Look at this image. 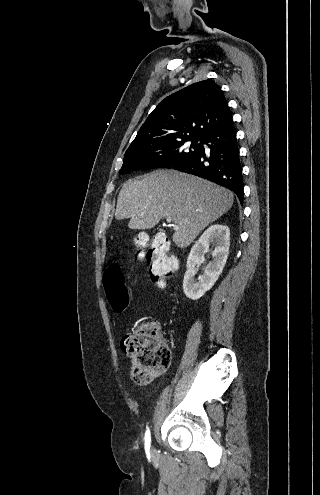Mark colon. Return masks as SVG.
I'll list each match as a JSON object with an SVG mask.
<instances>
[{"label":"colon","instance_id":"1","mask_svg":"<svg viewBox=\"0 0 320 495\" xmlns=\"http://www.w3.org/2000/svg\"><path fill=\"white\" fill-rule=\"evenodd\" d=\"M135 242L139 247L138 257L150 265V274L154 284L165 287L177 269V261L170 254L169 241L158 236L146 250V235H138ZM103 287L112 309L123 312L129 304L128 289L121 266L110 263L103 274ZM121 349L131 359V378L137 385H145L167 369L170 363V351L159 339L157 325L153 322L143 324L138 329L121 338Z\"/></svg>","mask_w":320,"mask_h":495}]
</instances>
